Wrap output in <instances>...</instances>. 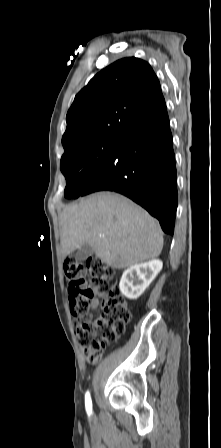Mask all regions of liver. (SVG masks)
Returning a JSON list of instances; mask_svg holds the SVG:
<instances>
[{
    "label": "liver",
    "mask_w": 221,
    "mask_h": 448,
    "mask_svg": "<svg viewBox=\"0 0 221 448\" xmlns=\"http://www.w3.org/2000/svg\"><path fill=\"white\" fill-rule=\"evenodd\" d=\"M60 223L64 256L89 244L102 262L115 269L154 259L163 248L159 223L115 193H96L64 208Z\"/></svg>",
    "instance_id": "1"
}]
</instances>
